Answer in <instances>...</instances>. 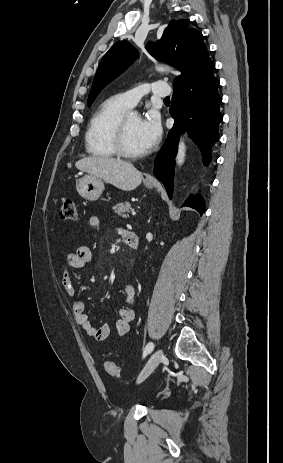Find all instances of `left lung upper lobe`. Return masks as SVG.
<instances>
[{"instance_id":"obj_1","label":"left lung upper lobe","mask_w":283,"mask_h":463,"mask_svg":"<svg viewBox=\"0 0 283 463\" xmlns=\"http://www.w3.org/2000/svg\"><path fill=\"white\" fill-rule=\"evenodd\" d=\"M189 20H172L159 41L148 44L147 50L156 59L168 63L182 72L174 86L185 79L196 67L210 60L203 35L189 28ZM137 57L134 47L127 41H118L102 58L88 96V105L98 93L121 74Z\"/></svg>"}]
</instances>
